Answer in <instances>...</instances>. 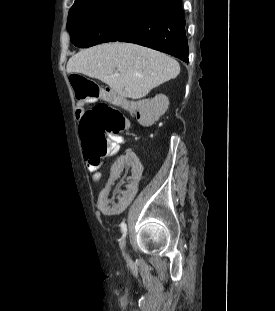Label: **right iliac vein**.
Returning a JSON list of instances; mask_svg holds the SVG:
<instances>
[{
	"mask_svg": "<svg viewBox=\"0 0 275 311\" xmlns=\"http://www.w3.org/2000/svg\"><path fill=\"white\" fill-rule=\"evenodd\" d=\"M121 248L124 249L123 245H124V241L121 242Z\"/></svg>",
	"mask_w": 275,
	"mask_h": 311,
	"instance_id": "right-iliac-vein-1",
	"label": "right iliac vein"
}]
</instances>
